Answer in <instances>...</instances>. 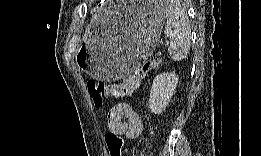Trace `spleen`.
Masks as SVG:
<instances>
[{
  "instance_id": "spleen-1",
  "label": "spleen",
  "mask_w": 261,
  "mask_h": 156,
  "mask_svg": "<svg viewBox=\"0 0 261 156\" xmlns=\"http://www.w3.org/2000/svg\"><path fill=\"white\" fill-rule=\"evenodd\" d=\"M167 12L164 33L170 39L168 53L172 60L179 61L186 58L190 51L191 30L189 18L178 1H171Z\"/></svg>"
}]
</instances>
